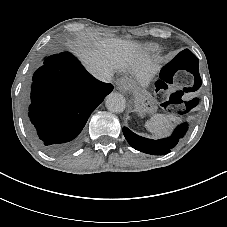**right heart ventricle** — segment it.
I'll list each match as a JSON object with an SVG mask.
<instances>
[{"instance_id":"obj_1","label":"right heart ventricle","mask_w":227,"mask_h":227,"mask_svg":"<svg viewBox=\"0 0 227 227\" xmlns=\"http://www.w3.org/2000/svg\"><path fill=\"white\" fill-rule=\"evenodd\" d=\"M158 49H159V46L155 44H149V45H146L145 47V51L147 53H152L154 51H157Z\"/></svg>"}]
</instances>
